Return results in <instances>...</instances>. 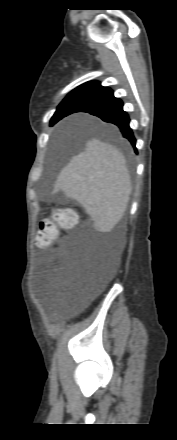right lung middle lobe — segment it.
Instances as JSON below:
<instances>
[{"instance_id":"right-lung-middle-lobe-1","label":"right lung middle lobe","mask_w":177,"mask_h":440,"mask_svg":"<svg viewBox=\"0 0 177 440\" xmlns=\"http://www.w3.org/2000/svg\"><path fill=\"white\" fill-rule=\"evenodd\" d=\"M95 102V99L85 96H80L75 93H69L66 98L60 103L55 114V118H63L71 113L78 112L82 108ZM53 125V124H51Z\"/></svg>"}]
</instances>
